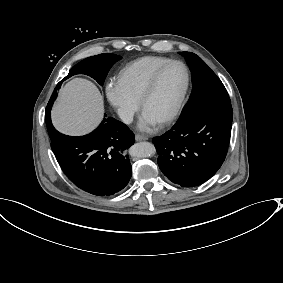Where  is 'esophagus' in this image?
I'll return each instance as SVG.
<instances>
[{
    "label": "esophagus",
    "mask_w": 283,
    "mask_h": 283,
    "mask_svg": "<svg viewBox=\"0 0 283 283\" xmlns=\"http://www.w3.org/2000/svg\"><path fill=\"white\" fill-rule=\"evenodd\" d=\"M135 139L136 141H145L148 140V138L146 136L140 135V134H136L135 135Z\"/></svg>",
    "instance_id": "esophagus-1"
}]
</instances>
